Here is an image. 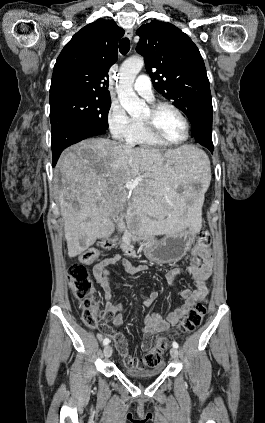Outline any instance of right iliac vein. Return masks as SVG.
<instances>
[{"label":"right iliac vein","instance_id":"obj_1","mask_svg":"<svg viewBox=\"0 0 265 423\" xmlns=\"http://www.w3.org/2000/svg\"><path fill=\"white\" fill-rule=\"evenodd\" d=\"M112 355V347L110 345H106L104 347V356L109 358Z\"/></svg>","mask_w":265,"mask_h":423}]
</instances>
